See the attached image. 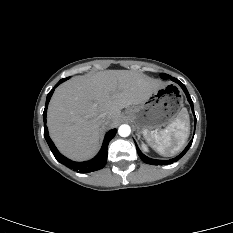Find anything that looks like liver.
I'll use <instances>...</instances> for the list:
<instances>
[{
  "instance_id": "obj_1",
  "label": "liver",
  "mask_w": 233,
  "mask_h": 233,
  "mask_svg": "<svg viewBox=\"0 0 233 233\" xmlns=\"http://www.w3.org/2000/svg\"><path fill=\"white\" fill-rule=\"evenodd\" d=\"M159 81L129 70L77 76L60 85L48 106L47 126L65 156L88 160L98 151L102 130L116 127L121 109L144 102ZM108 119L102 125L100 116Z\"/></svg>"
}]
</instances>
